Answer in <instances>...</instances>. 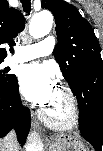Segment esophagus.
Wrapping results in <instances>:
<instances>
[{
	"mask_svg": "<svg viewBox=\"0 0 103 151\" xmlns=\"http://www.w3.org/2000/svg\"><path fill=\"white\" fill-rule=\"evenodd\" d=\"M31 124H32V127H33L34 130L40 131V129L38 127V122H37L36 117L34 116V114L32 115V122H31Z\"/></svg>",
	"mask_w": 103,
	"mask_h": 151,
	"instance_id": "esophagus-1",
	"label": "esophagus"
}]
</instances>
